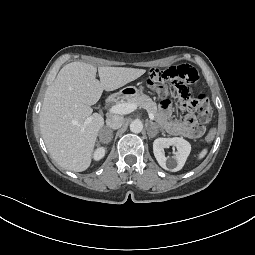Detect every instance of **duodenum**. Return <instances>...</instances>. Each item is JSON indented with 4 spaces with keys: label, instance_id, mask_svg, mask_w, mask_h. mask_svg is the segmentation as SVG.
I'll return each instance as SVG.
<instances>
[{
    "label": "duodenum",
    "instance_id": "duodenum-1",
    "mask_svg": "<svg viewBox=\"0 0 255 255\" xmlns=\"http://www.w3.org/2000/svg\"><path fill=\"white\" fill-rule=\"evenodd\" d=\"M123 97H124V94L122 92L115 93L108 98L107 103L110 104V103L117 102Z\"/></svg>",
    "mask_w": 255,
    "mask_h": 255
}]
</instances>
